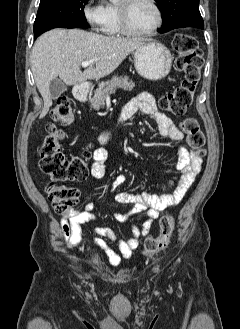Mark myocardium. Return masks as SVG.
<instances>
[{
    "mask_svg": "<svg viewBox=\"0 0 240 329\" xmlns=\"http://www.w3.org/2000/svg\"><path fill=\"white\" fill-rule=\"evenodd\" d=\"M135 1L136 0H122V2L119 4V19L122 33L131 37H146L153 35L162 26L163 23V13L160 6L156 0H148L156 12V22L148 30L135 31L129 24V9Z\"/></svg>",
    "mask_w": 240,
    "mask_h": 329,
    "instance_id": "f54148a6",
    "label": "myocardium"
}]
</instances>
